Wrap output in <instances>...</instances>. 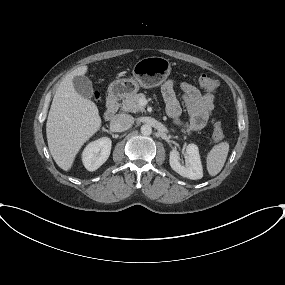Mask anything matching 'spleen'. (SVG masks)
<instances>
[{"mask_svg":"<svg viewBox=\"0 0 285 285\" xmlns=\"http://www.w3.org/2000/svg\"><path fill=\"white\" fill-rule=\"evenodd\" d=\"M229 152L227 141L215 145L207 154L206 166L209 175L216 176L223 168Z\"/></svg>","mask_w":285,"mask_h":285,"instance_id":"spleen-1","label":"spleen"}]
</instances>
